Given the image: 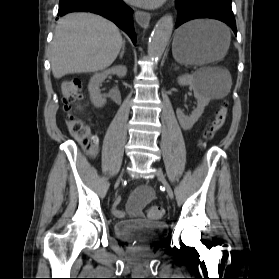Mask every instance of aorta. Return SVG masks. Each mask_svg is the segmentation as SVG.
Returning <instances> with one entry per match:
<instances>
[{
  "mask_svg": "<svg viewBox=\"0 0 279 279\" xmlns=\"http://www.w3.org/2000/svg\"><path fill=\"white\" fill-rule=\"evenodd\" d=\"M174 26L173 17L164 15L156 23L148 44V55L153 59L160 58L169 42Z\"/></svg>",
  "mask_w": 279,
  "mask_h": 279,
  "instance_id": "1",
  "label": "aorta"
}]
</instances>
